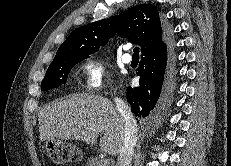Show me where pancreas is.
I'll list each match as a JSON object with an SVG mask.
<instances>
[{
    "label": "pancreas",
    "mask_w": 231,
    "mask_h": 166,
    "mask_svg": "<svg viewBox=\"0 0 231 166\" xmlns=\"http://www.w3.org/2000/svg\"><path fill=\"white\" fill-rule=\"evenodd\" d=\"M85 166H109V164L105 163L98 157H91L87 160Z\"/></svg>",
    "instance_id": "obj_1"
}]
</instances>
